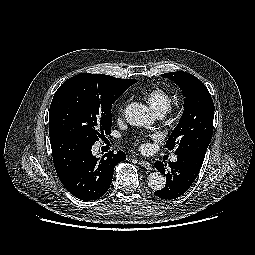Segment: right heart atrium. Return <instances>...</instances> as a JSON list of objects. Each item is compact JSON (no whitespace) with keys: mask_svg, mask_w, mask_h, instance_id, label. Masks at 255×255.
Masks as SVG:
<instances>
[{"mask_svg":"<svg viewBox=\"0 0 255 255\" xmlns=\"http://www.w3.org/2000/svg\"><path fill=\"white\" fill-rule=\"evenodd\" d=\"M126 106H127V103H125V104L121 107L120 111L123 112V111L125 110Z\"/></svg>","mask_w":255,"mask_h":255,"instance_id":"d8ad5b80","label":"right heart atrium"}]
</instances>
